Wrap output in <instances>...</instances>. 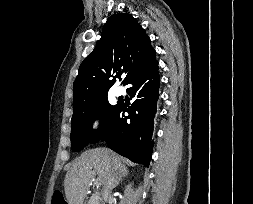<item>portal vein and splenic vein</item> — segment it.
Instances as JSON below:
<instances>
[{
    "label": "portal vein and splenic vein",
    "mask_w": 253,
    "mask_h": 204,
    "mask_svg": "<svg viewBox=\"0 0 253 204\" xmlns=\"http://www.w3.org/2000/svg\"><path fill=\"white\" fill-rule=\"evenodd\" d=\"M95 184H96L97 186H100L102 183H101V181H100L99 179H97V180L95 181Z\"/></svg>",
    "instance_id": "obj_1"
}]
</instances>
